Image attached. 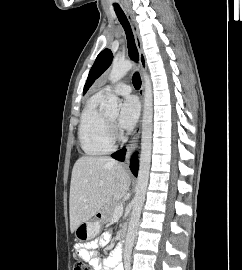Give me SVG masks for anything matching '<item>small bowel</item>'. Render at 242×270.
<instances>
[{
  "instance_id": "small-bowel-1",
  "label": "small bowel",
  "mask_w": 242,
  "mask_h": 270,
  "mask_svg": "<svg viewBox=\"0 0 242 270\" xmlns=\"http://www.w3.org/2000/svg\"><path fill=\"white\" fill-rule=\"evenodd\" d=\"M110 237L109 233H104L100 238L80 245L83 259L88 260L95 270H123L121 255L118 252L103 259L95 257L97 249L105 247L109 243Z\"/></svg>"
}]
</instances>
